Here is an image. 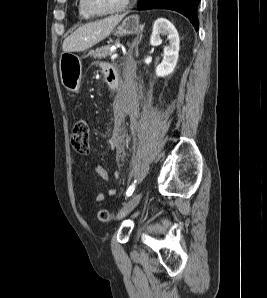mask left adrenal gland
I'll list each match as a JSON object with an SVG mask.
<instances>
[{"instance_id":"left-adrenal-gland-1","label":"left adrenal gland","mask_w":267,"mask_h":298,"mask_svg":"<svg viewBox=\"0 0 267 298\" xmlns=\"http://www.w3.org/2000/svg\"><path fill=\"white\" fill-rule=\"evenodd\" d=\"M142 37H143V35H142V33H141V34L139 35V37H137V38L134 40V42H133V44H132V46H131V49H130V51H129V55H130V56H131V54H132L133 48L135 47V48H136V57H138V45H139V43L141 42Z\"/></svg>"}]
</instances>
